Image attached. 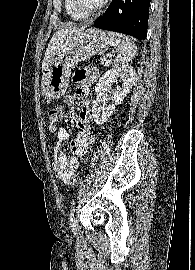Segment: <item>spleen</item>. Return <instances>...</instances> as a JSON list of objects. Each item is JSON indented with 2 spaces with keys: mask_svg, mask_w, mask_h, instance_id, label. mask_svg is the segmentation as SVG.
Wrapping results in <instances>:
<instances>
[{
  "mask_svg": "<svg viewBox=\"0 0 195 270\" xmlns=\"http://www.w3.org/2000/svg\"><path fill=\"white\" fill-rule=\"evenodd\" d=\"M112 45L116 48L115 62L117 64H124L132 60L137 53V46L135 43L125 35L116 32L107 33Z\"/></svg>",
  "mask_w": 195,
  "mask_h": 270,
  "instance_id": "spleen-1",
  "label": "spleen"
}]
</instances>
